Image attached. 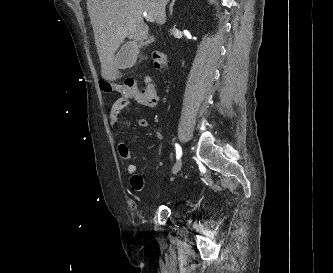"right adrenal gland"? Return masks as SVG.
Here are the masks:
<instances>
[{
  "label": "right adrenal gland",
  "instance_id": "1",
  "mask_svg": "<svg viewBox=\"0 0 333 273\" xmlns=\"http://www.w3.org/2000/svg\"><path fill=\"white\" fill-rule=\"evenodd\" d=\"M175 1H176V0H172V2H171V4H170V7H169L170 15H172V13H173V6H174Z\"/></svg>",
  "mask_w": 333,
  "mask_h": 273
}]
</instances>
